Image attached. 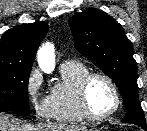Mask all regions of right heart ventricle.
<instances>
[{
	"label": "right heart ventricle",
	"mask_w": 147,
	"mask_h": 131,
	"mask_svg": "<svg viewBox=\"0 0 147 131\" xmlns=\"http://www.w3.org/2000/svg\"><path fill=\"white\" fill-rule=\"evenodd\" d=\"M90 71L88 67L76 61L65 62L60 67V79L51 88L50 118L64 124L83 122L77 99V89L81 79Z\"/></svg>",
	"instance_id": "1"
}]
</instances>
